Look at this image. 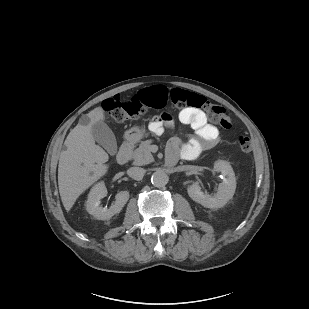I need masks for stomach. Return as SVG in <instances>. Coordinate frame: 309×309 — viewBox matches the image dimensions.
Here are the masks:
<instances>
[{
  "instance_id": "stomach-1",
  "label": "stomach",
  "mask_w": 309,
  "mask_h": 309,
  "mask_svg": "<svg viewBox=\"0 0 309 309\" xmlns=\"http://www.w3.org/2000/svg\"><path fill=\"white\" fill-rule=\"evenodd\" d=\"M146 136V130L140 127H133L125 132V139L139 141Z\"/></svg>"
}]
</instances>
